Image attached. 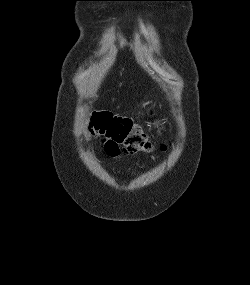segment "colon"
Returning <instances> with one entry per match:
<instances>
[{
    "label": "colon",
    "mask_w": 250,
    "mask_h": 285,
    "mask_svg": "<svg viewBox=\"0 0 250 285\" xmlns=\"http://www.w3.org/2000/svg\"><path fill=\"white\" fill-rule=\"evenodd\" d=\"M89 132L104 139L105 149L112 156L118 154L121 148L131 154L152 149L151 142L138 124L112 112H94Z\"/></svg>",
    "instance_id": "5ec220e1"
}]
</instances>
